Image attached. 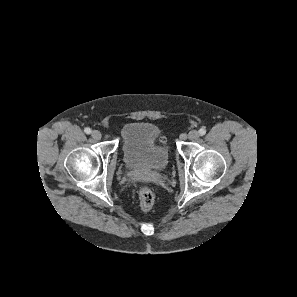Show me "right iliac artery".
Masks as SVG:
<instances>
[{
	"label": "right iliac artery",
	"mask_w": 297,
	"mask_h": 297,
	"mask_svg": "<svg viewBox=\"0 0 297 297\" xmlns=\"http://www.w3.org/2000/svg\"><path fill=\"white\" fill-rule=\"evenodd\" d=\"M84 132H85L86 134H90V133H91V129H90L89 127H87V128H85Z\"/></svg>",
	"instance_id": "obj_1"
}]
</instances>
